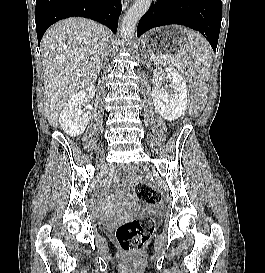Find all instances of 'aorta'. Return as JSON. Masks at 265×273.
<instances>
[{"label": "aorta", "mask_w": 265, "mask_h": 273, "mask_svg": "<svg viewBox=\"0 0 265 273\" xmlns=\"http://www.w3.org/2000/svg\"><path fill=\"white\" fill-rule=\"evenodd\" d=\"M151 0H136L130 7L121 23V37L125 41H130L135 33V28L140 18L148 11Z\"/></svg>", "instance_id": "obj_1"}]
</instances>
